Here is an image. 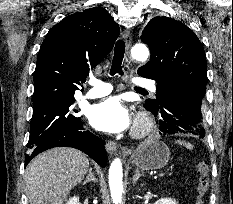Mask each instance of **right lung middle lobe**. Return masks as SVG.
Returning a JSON list of instances; mask_svg holds the SVG:
<instances>
[{
    "mask_svg": "<svg viewBox=\"0 0 233 204\" xmlns=\"http://www.w3.org/2000/svg\"><path fill=\"white\" fill-rule=\"evenodd\" d=\"M74 97L43 100L33 104L31 130L27 147L33 150L49 137L64 130L77 128L81 117L71 108Z\"/></svg>",
    "mask_w": 233,
    "mask_h": 204,
    "instance_id": "dd1d6c3e",
    "label": "right lung middle lobe"
}]
</instances>
